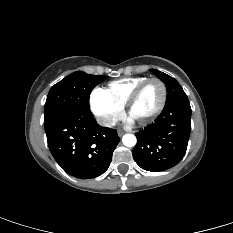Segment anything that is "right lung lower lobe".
I'll use <instances>...</instances> for the list:
<instances>
[{
    "label": "right lung lower lobe",
    "mask_w": 233,
    "mask_h": 233,
    "mask_svg": "<svg viewBox=\"0 0 233 233\" xmlns=\"http://www.w3.org/2000/svg\"><path fill=\"white\" fill-rule=\"evenodd\" d=\"M49 150L62 169L75 177L95 178L109 167L120 138L101 127L90 108L63 112L46 121Z\"/></svg>",
    "instance_id": "1"
}]
</instances>
